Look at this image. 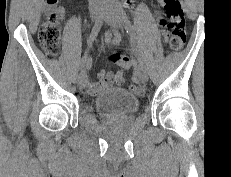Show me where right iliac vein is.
Segmentation results:
<instances>
[{
    "mask_svg": "<svg viewBox=\"0 0 231 177\" xmlns=\"http://www.w3.org/2000/svg\"><path fill=\"white\" fill-rule=\"evenodd\" d=\"M101 16V12L100 9L95 8L93 9L92 13H91V17L94 21H96L99 17ZM77 84L79 86L80 89H83L86 84H87V74L86 71H82L80 73V75L77 78Z\"/></svg>",
    "mask_w": 231,
    "mask_h": 177,
    "instance_id": "1",
    "label": "right iliac vein"
}]
</instances>
